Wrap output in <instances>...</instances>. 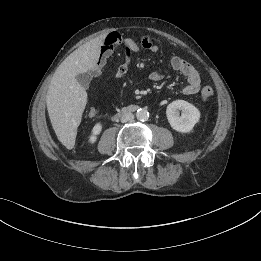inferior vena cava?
<instances>
[{"mask_svg":"<svg viewBox=\"0 0 261 261\" xmlns=\"http://www.w3.org/2000/svg\"><path fill=\"white\" fill-rule=\"evenodd\" d=\"M134 119V115L131 113V112H125L121 115V122L122 123H126V122H129V121H132Z\"/></svg>","mask_w":261,"mask_h":261,"instance_id":"inferior-vena-cava-1","label":"inferior vena cava"}]
</instances>
